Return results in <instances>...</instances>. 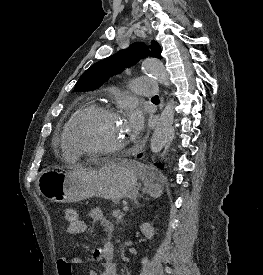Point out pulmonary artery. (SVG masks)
<instances>
[{
    "mask_svg": "<svg viewBox=\"0 0 263 275\" xmlns=\"http://www.w3.org/2000/svg\"><path fill=\"white\" fill-rule=\"evenodd\" d=\"M131 89L137 95L153 96L157 93V83L152 78L139 77L132 82Z\"/></svg>",
    "mask_w": 263,
    "mask_h": 275,
    "instance_id": "1",
    "label": "pulmonary artery"
}]
</instances>
